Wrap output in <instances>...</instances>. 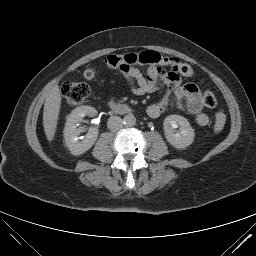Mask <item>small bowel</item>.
I'll use <instances>...</instances> for the list:
<instances>
[{
	"instance_id": "obj_1",
	"label": "small bowel",
	"mask_w": 256,
	"mask_h": 256,
	"mask_svg": "<svg viewBox=\"0 0 256 256\" xmlns=\"http://www.w3.org/2000/svg\"><path fill=\"white\" fill-rule=\"evenodd\" d=\"M169 59L163 58L157 64H150L146 74H143L137 65L124 66L118 70L135 95L152 93L158 88L159 83L167 87L166 96L148 106L147 114L150 118H158L167 109L170 95L173 94L179 103L182 100L186 101L187 110L197 125H208L209 117L202 112L203 101L198 87L193 83L182 84L181 75L171 66Z\"/></svg>"
}]
</instances>
